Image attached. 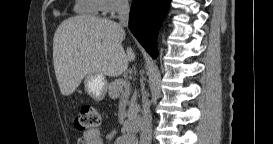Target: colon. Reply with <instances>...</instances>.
<instances>
[{
	"mask_svg": "<svg viewBox=\"0 0 273 144\" xmlns=\"http://www.w3.org/2000/svg\"><path fill=\"white\" fill-rule=\"evenodd\" d=\"M100 124V115L91 104H84L75 120V126L79 131L95 129Z\"/></svg>",
	"mask_w": 273,
	"mask_h": 144,
	"instance_id": "1",
	"label": "colon"
}]
</instances>
